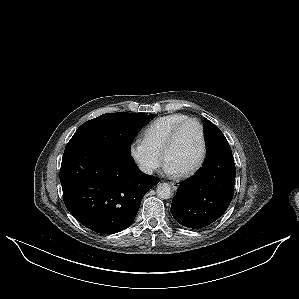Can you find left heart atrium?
<instances>
[{
    "mask_svg": "<svg viewBox=\"0 0 299 299\" xmlns=\"http://www.w3.org/2000/svg\"><path fill=\"white\" fill-rule=\"evenodd\" d=\"M165 170L170 174H173V175L177 174V170L170 165H167L165 167Z\"/></svg>",
    "mask_w": 299,
    "mask_h": 299,
    "instance_id": "39dd6f15",
    "label": "left heart atrium"
}]
</instances>
